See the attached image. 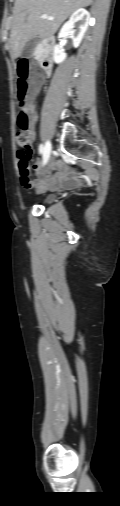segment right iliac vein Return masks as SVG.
I'll list each match as a JSON object with an SVG mask.
<instances>
[{
  "instance_id": "1",
  "label": "right iliac vein",
  "mask_w": 120,
  "mask_h": 506,
  "mask_svg": "<svg viewBox=\"0 0 120 506\" xmlns=\"http://www.w3.org/2000/svg\"><path fill=\"white\" fill-rule=\"evenodd\" d=\"M50 154H51V143L49 141L46 142L45 144V151H44V160L45 159H49L50 157Z\"/></svg>"
}]
</instances>
